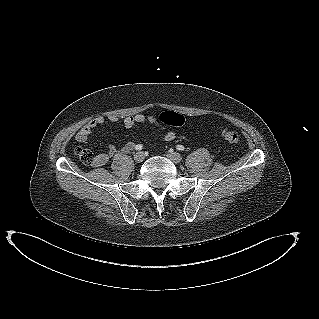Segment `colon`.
Returning a JSON list of instances; mask_svg holds the SVG:
<instances>
[{
  "label": "colon",
  "mask_w": 319,
  "mask_h": 319,
  "mask_svg": "<svg viewBox=\"0 0 319 319\" xmlns=\"http://www.w3.org/2000/svg\"><path fill=\"white\" fill-rule=\"evenodd\" d=\"M158 120L162 125L169 127H179L184 124V117L173 111L162 112L158 116ZM221 135L230 143H236L239 140L237 131L229 127H224L221 130ZM75 153L84 164H93L95 160V155L89 149L78 147Z\"/></svg>",
  "instance_id": "obj_1"
}]
</instances>
